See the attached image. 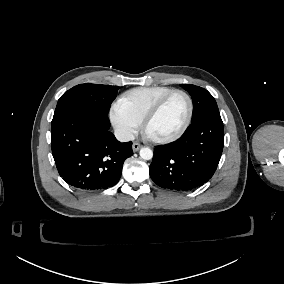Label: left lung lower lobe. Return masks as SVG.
I'll list each match as a JSON object with an SVG mask.
<instances>
[{"mask_svg":"<svg viewBox=\"0 0 284 284\" xmlns=\"http://www.w3.org/2000/svg\"><path fill=\"white\" fill-rule=\"evenodd\" d=\"M223 146L224 128L220 114L194 120L176 142L154 149L150 177L162 188L194 190L213 176Z\"/></svg>","mask_w":284,"mask_h":284,"instance_id":"obj_1","label":"left lung lower lobe"}]
</instances>
